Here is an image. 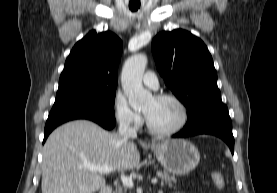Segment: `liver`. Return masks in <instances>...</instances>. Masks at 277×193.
Masks as SVG:
<instances>
[{
  "label": "liver",
  "mask_w": 277,
  "mask_h": 193,
  "mask_svg": "<svg viewBox=\"0 0 277 193\" xmlns=\"http://www.w3.org/2000/svg\"><path fill=\"white\" fill-rule=\"evenodd\" d=\"M139 162L134 142L91 121H72L55 129L44 145L42 193H95L105 187V178L87 165L125 172Z\"/></svg>",
  "instance_id": "6515ba94"
}]
</instances>
